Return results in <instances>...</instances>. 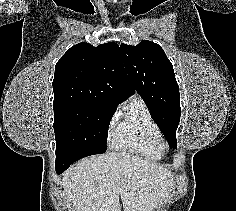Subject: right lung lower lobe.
<instances>
[{
	"instance_id": "obj_1",
	"label": "right lung lower lobe",
	"mask_w": 236,
	"mask_h": 211,
	"mask_svg": "<svg viewBox=\"0 0 236 211\" xmlns=\"http://www.w3.org/2000/svg\"><path fill=\"white\" fill-rule=\"evenodd\" d=\"M96 153L89 151H70L56 155V172L61 174L64 172L73 162Z\"/></svg>"
}]
</instances>
